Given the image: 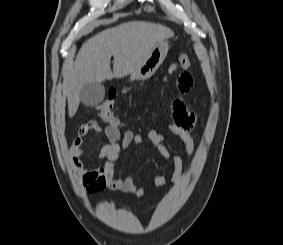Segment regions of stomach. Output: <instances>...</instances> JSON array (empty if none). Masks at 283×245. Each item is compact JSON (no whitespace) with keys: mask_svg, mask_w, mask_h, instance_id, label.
<instances>
[{"mask_svg":"<svg viewBox=\"0 0 283 245\" xmlns=\"http://www.w3.org/2000/svg\"><path fill=\"white\" fill-rule=\"evenodd\" d=\"M169 45L166 41L159 42L150 52L145 61L130 73V79L146 80L149 79L165 60Z\"/></svg>","mask_w":283,"mask_h":245,"instance_id":"obj_1","label":"stomach"}]
</instances>
